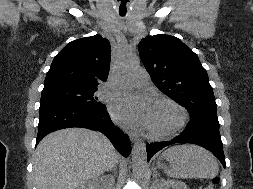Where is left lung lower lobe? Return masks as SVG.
Listing matches in <instances>:
<instances>
[{
    "label": "left lung lower lobe",
    "instance_id": "obj_1",
    "mask_svg": "<svg viewBox=\"0 0 253 189\" xmlns=\"http://www.w3.org/2000/svg\"><path fill=\"white\" fill-rule=\"evenodd\" d=\"M175 143H193L211 151L226 167L223 145L219 133V122L205 118H191L183 132L171 141L147 144V159L164 147Z\"/></svg>",
    "mask_w": 253,
    "mask_h": 189
}]
</instances>
